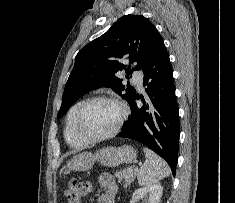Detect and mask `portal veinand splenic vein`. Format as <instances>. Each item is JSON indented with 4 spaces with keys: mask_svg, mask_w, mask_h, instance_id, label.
Segmentation results:
<instances>
[{
    "mask_svg": "<svg viewBox=\"0 0 235 203\" xmlns=\"http://www.w3.org/2000/svg\"><path fill=\"white\" fill-rule=\"evenodd\" d=\"M134 171H136V172H137V171H138V168H137V167H134Z\"/></svg>",
    "mask_w": 235,
    "mask_h": 203,
    "instance_id": "portal-vein-and-splenic-vein-1",
    "label": "portal vein and splenic vein"
}]
</instances>
